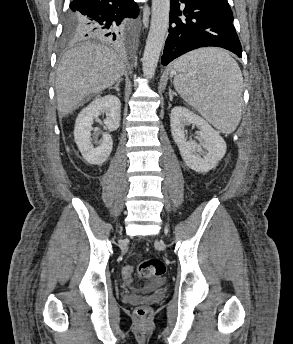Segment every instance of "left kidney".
<instances>
[{
  "instance_id": "left-kidney-1",
  "label": "left kidney",
  "mask_w": 293,
  "mask_h": 344,
  "mask_svg": "<svg viewBox=\"0 0 293 344\" xmlns=\"http://www.w3.org/2000/svg\"><path fill=\"white\" fill-rule=\"evenodd\" d=\"M190 124L200 129V144L186 139L184 129ZM170 126L172 137L184 162L195 172H209L217 166L225 155L226 143L219 132L214 130L206 120L189 109L181 106L174 107L170 114ZM202 148L205 149V152Z\"/></svg>"
}]
</instances>
